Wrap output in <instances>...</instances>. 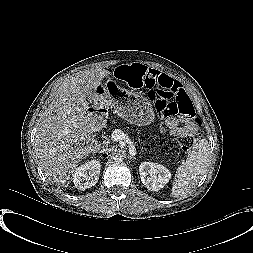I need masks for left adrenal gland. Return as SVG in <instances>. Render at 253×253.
Masks as SVG:
<instances>
[{"mask_svg":"<svg viewBox=\"0 0 253 253\" xmlns=\"http://www.w3.org/2000/svg\"><path fill=\"white\" fill-rule=\"evenodd\" d=\"M130 158H133V159H135V156H133V155H132V156H130Z\"/></svg>","mask_w":253,"mask_h":253,"instance_id":"1","label":"left adrenal gland"}]
</instances>
